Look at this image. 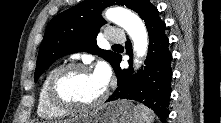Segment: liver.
Segmentation results:
<instances>
[{"label": "liver", "instance_id": "liver-1", "mask_svg": "<svg viewBox=\"0 0 221 123\" xmlns=\"http://www.w3.org/2000/svg\"><path fill=\"white\" fill-rule=\"evenodd\" d=\"M64 123H69L68 121H65Z\"/></svg>", "mask_w": 221, "mask_h": 123}]
</instances>
